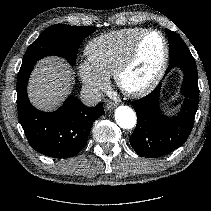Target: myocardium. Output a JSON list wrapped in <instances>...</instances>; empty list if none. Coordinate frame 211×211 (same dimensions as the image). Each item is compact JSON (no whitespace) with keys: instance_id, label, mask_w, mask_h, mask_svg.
Returning <instances> with one entry per match:
<instances>
[{"instance_id":"1","label":"myocardium","mask_w":211,"mask_h":211,"mask_svg":"<svg viewBox=\"0 0 211 211\" xmlns=\"http://www.w3.org/2000/svg\"><path fill=\"white\" fill-rule=\"evenodd\" d=\"M156 33L161 37L162 43H163V56L160 63V66L158 67L156 73L154 76L143 86L139 88H128L124 85L123 80L125 75L132 69V67L135 65L140 47L145 39V37L149 34ZM169 58H170V49L169 44L166 36L158 29H145L134 41L132 44L129 52L125 56V58L121 61L119 66L117 67L115 73H114V80L116 82V85L119 87V89L124 92L126 95L133 97V98H141L149 93H151L161 82L162 78L164 77L168 64H169Z\"/></svg>"}]
</instances>
